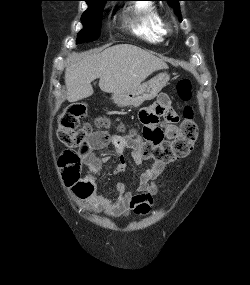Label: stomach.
<instances>
[{
    "label": "stomach",
    "mask_w": 250,
    "mask_h": 285,
    "mask_svg": "<svg viewBox=\"0 0 250 285\" xmlns=\"http://www.w3.org/2000/svg\"><path fill=\"white\" fill-rule=\"evenodd\" d=\"M169 75L160 73L147 82L141 83L130 90L113 93L112 100L119 106L138 107L145 101L154 99L161 89L167 85Z\"/></svg>",
    "instance_id": "stomach-1"
}]
</instances>
